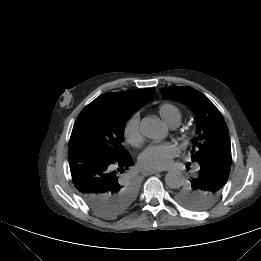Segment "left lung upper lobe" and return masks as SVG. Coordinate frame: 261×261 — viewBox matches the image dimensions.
I'll return each instance as SVG.
<instances>
[{
	"label": "left lung upper lobe",
	"instance_id": "1",
	"mask_svg": "<svg viewBox=\"0 0 261 261\" xmlns=\"http://www.w3.org/2000/svg\"><path fill=\"white\" fill-rule=\"evenodd\" d=\"M161 94L165 98L180 101L189 106L196 115V138L193 141L192 161L202 160L223 167L231 161L229 131L224 118L216 106L199 91L189 87H164ZM216 185L215 183H210ZM225 185V184H224ZM224 185L217 187L216 192L206 193L201 188L187 183L175 193V199L191 210L209 208L221 195Z\"/></svg>",
	"mask_w": 261,
	"mask_h": 261
}]
</instances>
